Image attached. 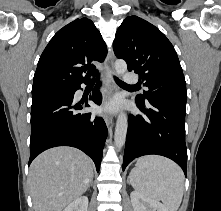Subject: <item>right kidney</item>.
<instances>
[{
    "label": "right kidney",
    "instance_id": "1",
    "mask_svg": "<svg viewBox=\"0 0 221 211\" xmlns=\"http://www.w3.org/2000/svg\"><path fill=\"white\" fill-rule=\"evenodd\" d=\"M88 198L87 196H81L71 202L63 211H87Z\"/></svg>",
    "mask_w": 221,
    "mask_h": 211
}]
</instances>
